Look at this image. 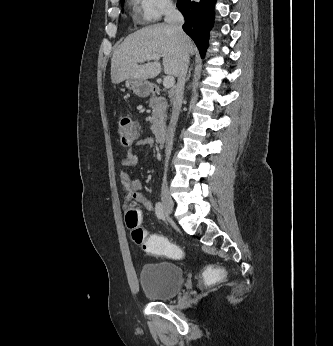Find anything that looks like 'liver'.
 Returning a JSON list of instances; mask_svg holds the SVG:
<instances>
[{"mask_svg": "<svg viewBox=\"0 0 333 346\" xmlns=\"http://www.w3.org/2000/svg\"><path fill=\"white\" fill-rule=\"evenodd\" d=\"M194 52L191 39L185 34L183 41L167 24H156L130 34L114 51L111 59V81L113 84L132 78L147 80L159 75L158 61L141 64L142 59L153 54L163 56L164 73L178 76L183 52Z\"/></svg>", "mask_w": 333, "mask_h": 346, "instance_id": "6515ba94", "label": "liver"}]
</instances>
